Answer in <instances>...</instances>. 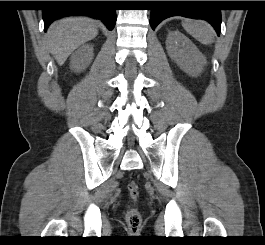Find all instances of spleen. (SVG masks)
Instances as JSON below:
<instances>
[{
    "mask_svg": "<svg viewBox=\"0 0 265 245\" xmlns=\"http://www.w3.org/2000/svg\"><path fill=\"white\" fill-rule=\"evenodd\" d=\"M182 26L186 32L202 44H211L214 42L213 29L206 22L202 20H185L182 22Z\"/></svg>",
    "mask_w": 265,
    "mask_h": 245,
    "instance_id": "1",
    "label": "spleen"
}]
</instances>
